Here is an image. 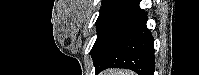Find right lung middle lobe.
<instances>
[{"instance_id": "dd1d6c3e", "label": "right lung middle lobe", "mask_w": 199, "mask_h": 75, "mask_svg": "<svg viewBox=\"0 0 199 75\" xmlns=\"http://www.w3.org/2000/svg\"><path fill=\"white\" fill-rule=\"evenodd\" d=\"M127 3V0H117L112 3L102 4L99 17L96 21L97 39L91 49V55H93L102 42L108 27L112 24L118 14L125 8Z\"/></svg>"}]
</instances>
